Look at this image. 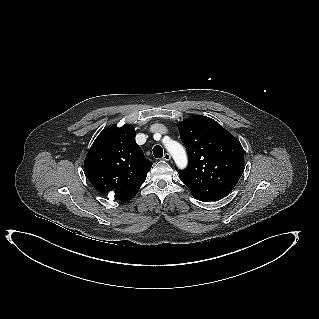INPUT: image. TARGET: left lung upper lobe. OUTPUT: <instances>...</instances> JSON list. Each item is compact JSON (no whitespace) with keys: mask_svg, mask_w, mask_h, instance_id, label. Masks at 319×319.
<instances>
[{"mask_svg":"<svg viewBox=\"0 0 319 319\" xmlns=\"http://www.w3.org/2000/svg\"><path fill=\"white\" fill-rule=\"evenodd\" d=\"M189 164L179 178L194 197L213 201L228 195L244 170L240 142L215 120L195 115L178 124Z\"/></svg>","mask_w":319,"mask_h":319,"instance_id":"1","label":"left lung upper lobe"}]
</instances>
